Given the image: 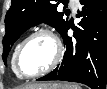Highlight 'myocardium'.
Masks as SVG:
<instances>
[{
    "instance_id": "myocardium-1",
    "label": "myocardium",
    "mask_w": 107,
    "mask_h": 89,
    "mask_svg": "<svg viewBox=\"0 0 107 89\" xmlns=\"http://www.w3.org/2000/svg\"><path fill=\"white\" fill-rule=\"evenodd\" d=\"M37 35H47L48 37H50L53 40V42L55 44V48H56L55 57L47 68H45L37 73H34V74H24L19 69V64H18L19 56H20V53H21L23 47L25 46V44L30 39H32L33 37H35ZM62 57H63V46H62L60 39L58 38V36L56 35V33L54 31H52L49 28L43 27V28H38V29L34 30L19 43V45L16 49V52H15V55H14L13 66H14L15 72L17 73V75L19 77L36 78V77L45 75V74L49 73L50 71H52L53 69H55L58 66V64L60 63Z\"/></svg>"
}]
</instances>
